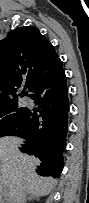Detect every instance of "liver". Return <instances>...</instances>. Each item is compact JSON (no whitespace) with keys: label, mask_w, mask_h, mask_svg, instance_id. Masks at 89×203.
Here are the masks:
<instances>
[{"label":"liver","mask_w":89,"mask_h":203,"mask_svg":"<svg viewBox=\"0 0 89 203\" xmlns=\"http://www.w3.org/2000/svg\"><path fill=\"white\" fill-rule=\"evenodd\" d=\"M23 140L16 137L0 139V194L9 198L10 203H18L28 195L40 198L48 195L56 181L39 176L35 169L40 161L35 156L20 152Z\"/></svg>","instance_id":"1"}]
</instances>
